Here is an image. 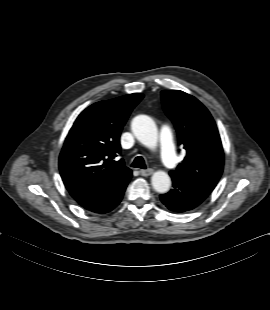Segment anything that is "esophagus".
Segmentation results:
<instances>
[{
  "instance_id": "34e87169",
  "label": "esophagus",
  "mask_w": 270,
  "mask_h": 310,
  "mask_svg": "<svg viewBox=\"0 0 270 310\" xmlns=\"http://www.w3.org/2000/svg\"><path fill=\"white\" fill-rule=\"evenodd\" d=\"M140 174L142 176H150L153 174V169L149 168V169H146V170H140Z\"/></svg>"
}]
</instances>
